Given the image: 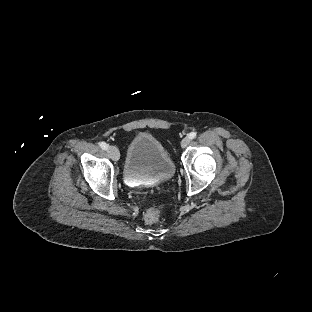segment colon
<instances>
[{
  "label": "colon",
  "instance_id": "colon-1",
  "mask_svg": "<svg viewBox=\"0 0 312 312\" xmlns=\"http://www.w3.org/2000/svg\"><path fill=\"white\" fill-rule=\"evenodd\" d=\"M144 219L147 223H156L158 221V213L154 208H148L145 212Z\"/></svg>",
  "mask_w": 312,
  "mask_h": 312
}]
</instances>
